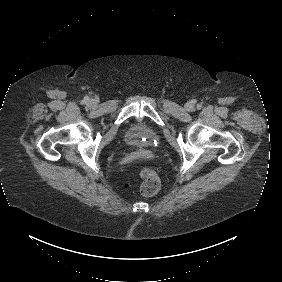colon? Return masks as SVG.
<instances>
[{
  "instance_id": "5ec220e1",
  "label": "colon",
  "mask_w": 282,
  "mask_h": 282,
  "mask_svg": "<svg viewBox=\"0 0 282 282\" xmlns=\"http://www.w3.org/2000/svg\"><path fill=\"white\" fill-rule=\"evenodd\" d=\"M142 183L140 191L145 196L155 195L161 185V178L154 169L144 168L140 173Z\"/></svg>"
}]
</instances>
